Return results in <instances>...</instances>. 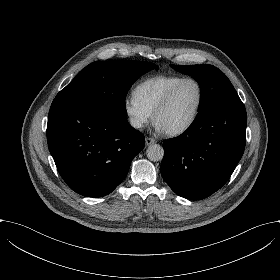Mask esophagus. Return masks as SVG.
Instances as JSON below:
<instances>
[{"mask_svg": "<svg viewBox=\"0 0 280 280\" xmlns=\"http://www.w3.org/2000/svg\"><path fill=\"white\" fill-rule=\"evenodd\" d=\"M156 142V140L154 138L151 137H145V145L149 146L151 144H154Z\"/></svg>", "mask_w": 280, "mask_h": 280, "instance_id": "1", "label": "esophagus"}]
</instances>
